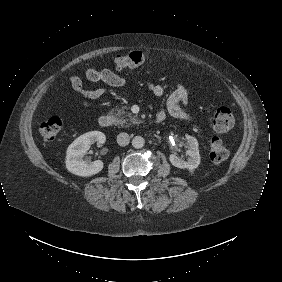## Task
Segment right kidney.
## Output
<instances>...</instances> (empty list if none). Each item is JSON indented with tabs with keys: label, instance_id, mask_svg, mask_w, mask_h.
<instances>
[{
	"label": "right kidney",
	"instance_id": "1",
	"mask_svg": "<svg viewBox=\"0 0 282 282\" xmlns=\"http://www.w3.org/2000/svg\"><path fill=\"white\" fill-rule=\"evenodd\" d=\"M104 143L105 135L99 131L85 133L76 138L69 146L65 157V167L68 172L79 177H91L104 168L101 160L88 162L83 156L92 143Z\"/></svg>",
	"mask_w": 282,
	"mask_h": 282
}]
</instances>
